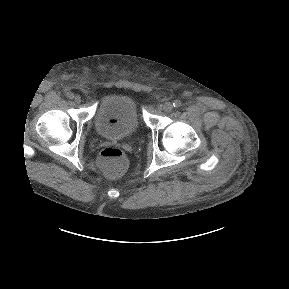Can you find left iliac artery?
Listing matches in <instances>:
<instances>
[{"label":"left iliac artery","mask_w":289,"mask_h":289,"mask_svg":"<svg viewBox=\"0 0 289 289\" xmlns=\"http://www.w3.org/2000/svg\"><path fill=\"white\" fill-rule=\"evenodd\" d=\"M181 105H182V102H181L180 100H175V101L173 102V106H174L175 108H179Z\"/></svg>","instance_id":"obj_1"}]
</instances>
